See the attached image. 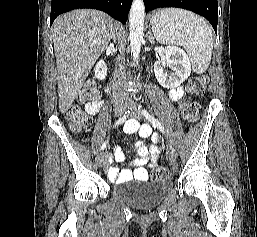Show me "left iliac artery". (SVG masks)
<instances>
[{"label": "left iliac artery", "mask_w": 257, "mask_h": 237, "mask_svg": "<svg viewBox=\"0 0 257 237\" xmlns=\"http://www.w3.org/2000/svg\"><path fill=\"white\" fill-rule=\"evenodd\" d=\"M138 109H141L143 116L152 123L154 128H158L162 133H165L162 124L157 119H155L147 110L142 108L141 105L138 106Z\"/></svg>", "instance_id": "44dca946"}]
</instances>
